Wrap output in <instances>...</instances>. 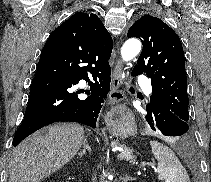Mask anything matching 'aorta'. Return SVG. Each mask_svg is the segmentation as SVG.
I'll use <instances>...</instances> for the list:
<instances>
[{
    "mask_svg": "<svg viewBox=\"0 0 211 182\" xmlns=\"http://www.w3.org/2000/svg\"><path fill=\"white\" fill-rule=\"evenodd\" d=\"M141 51V42L138 39H128L121 48V56L125 62L135 58Z\"/></svg>",
    "mask_w": 211,
    "mask_h": 182,
    "instance_id": "762f6f07",
    "label": "aorta"
}]
</instances>
